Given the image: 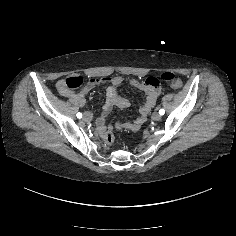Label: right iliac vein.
Segmentation results:
<instances>
[{
    "label": "right iliac vein",
    "mask_w": 236,
    "mask_h": 236,
    "mask_svg": "<svg viewBox=\"0 0 236 236\" xmlns=\"http://www.w3.org/2000/svg\"><path fill=\"white\" fill-rule=\"evenodd\" d=\"M90 119V115L87 113L83 116V121H87Z\"/></svg>",
    "instance_id": "right-iliac-vein-1"
}]
</instances>
